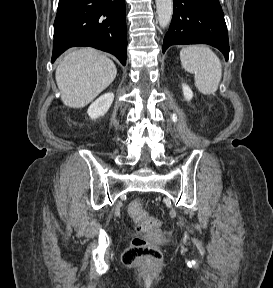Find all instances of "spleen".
<instances>
[{
    "instance_id": "obj_1",
    "label": "spleen",
    "mask_w": 273,
    "mask_h": 288,
    "mask_svg": "<svg viewBox=\"0 0 273 288\" xmlns=\"http://www.w3.org/2000/svg\"><path fill=\"white\" fill-rule=\"evenodd\" d=\"M183 68L194 73L195 85L204 95L214 94L222 77V65L217 55L207 46L191 45L180 51Z\"/></svg>"
}]
</instances>
